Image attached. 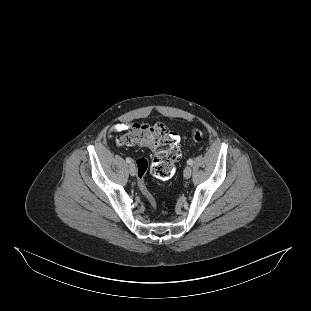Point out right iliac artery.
<instances>
[{
    "mask_svg": "<svg viewBox=\"0 0 311 311\" xmlns=\"http://www.w3.org/2000/svg\"><path fill=\"white\" fill-rule=\"evenodd\" d=\"M126 162H127V163H131V162H132L131 158H129V157L126 158Z\"/></svg>",
    "mask_w": 311,
    "mask_h": 311,
    "instance_id": "82829eb1",
    "label": "right iliac artery"
}]
</instances>
